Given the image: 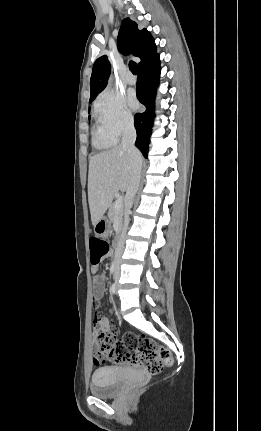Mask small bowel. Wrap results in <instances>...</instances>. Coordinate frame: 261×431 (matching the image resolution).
Instances as JSON below:
<instances>
[{
	"mask_svg": "<svg viewBox=\"0 0 261 431\" xmlns=\"http://www.w3.org/2000/svg\"><path fill=\"white\" fill-rule=\"evenodd\" d=\"M94 271L95 275L93 277V283L95 290L93 291L92 304L94 306H99L104 294L105 274L102 272H97L96 269H94ZM92 316L94 318V333H113V329L110 326L109 320L105 317H101L103 316V313H101L99 310H95L93 311Z\"/></svg>",
	"mask_w": 261,
	"mask_h": 431,
	"instance_id": "c3829d8e",
	"label": "small bowel"
}]
</instances>
